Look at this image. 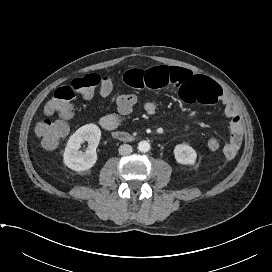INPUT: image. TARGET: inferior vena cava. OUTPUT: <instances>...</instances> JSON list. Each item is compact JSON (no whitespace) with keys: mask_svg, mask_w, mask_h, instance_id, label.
<instances>
[{"mask_svg":"<svg viewBox=\"0 0 272 272\" xmlns=\"http://www.w3.org/2000/svg\"><path fill=\"white\" fill-rule=\"evenodd\" d=\"M133 151V148L129 144H123L119 147V153L121 155H127L130 154Z\"/></svg>","mask_w":272,"mask_h":272,"instance_id":"1","label":"inferior vena cava"}]
</instances>
